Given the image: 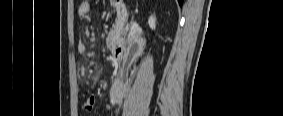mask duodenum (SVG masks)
Returning <instances> with one entry per match:
<instances>
[{
	"label": "duodenum",
	"mask_w": 283,
	"mask_h": 116,
	"mask_svg": "<svg viewBox=\"0 0 283 116\" xmlns=\"http://www.w3.org/2000/svg\"><path fill=\"white\" fill-rule=\"evenodd\" d=\"M115 10H116V15H117V19L120 23H124L128 17V10L127 8L122 5H116L115 6ZM125 53H126V48H125V42L123 40H119L114 47L112 48V55L115 59H117L118 61H120L121 63H127L128 60L125 57ZM116 85H122L125 86L123 83H121L119 80L116 81L115 83Z\"/></svg>",
	"instance_id": "duodenum-1"
}]
</instances>
